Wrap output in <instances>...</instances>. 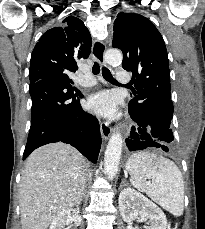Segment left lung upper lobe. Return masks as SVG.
Masks as SVG:
<instances>
[{
  "instance_id": "1",
  "label": "left lung upper lobe",
  "mask_w": 205,
  "mask_h": 229,
  "mask_svg": "<svg viewBox=\"0 0 205 229\" xmlns=\"http://www.w3.org/2000/svg\"><path fill=\"white\" fill-rule=\"evenodd\" d=\"M113 47L123 52L122 67L133 72L129 108L170 129L173 103L164 40L144 16L121 12L114 22ZM168 145L171 147L173 139Z\"/></svg>"
}]
</instances>
